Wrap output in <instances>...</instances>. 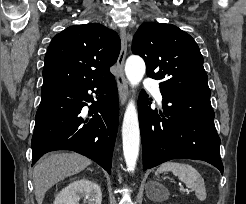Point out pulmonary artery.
<instances>
[{
  "label": "pulmonary artery",
  "instance_id": "e3ab8cb5",
  "mask_svg": "<svg viewBox=\"0 0 246 204\" xmlns=\"http://www.w3.org/2000/svg\"><path fill=\"white\" fill-rule=\"evenodd\" d=\"M144 87L151 91L153 96L155 97V99L161 103L163 101V97H162V94L160 92V89H159V86H158V83L152 79H146L144 81Z\"/></svg>",
  "mask_w": 246,
  "mask_h": 204
}]
</instances>
